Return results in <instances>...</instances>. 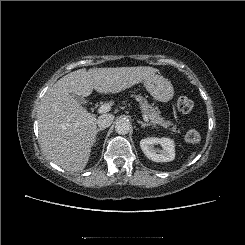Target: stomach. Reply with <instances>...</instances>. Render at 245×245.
<instances>
[{
	"mask_svg": "<svg viewBox=\"0 0 245 245\" xmlns=\"http://www.w3.org/2000/svg\"><path fill=\"white\" fill-rule=\"evenodd\" d=\"M144 86L152 97L160 102L167 103L174 96L171 82L160 75H152L144 80Z\"/></svg>",
	"mask_w": 245,
	"mask_h": 245,
	"instance_id": "obj_1",
	"label": "stomach"
}]
</instances>
